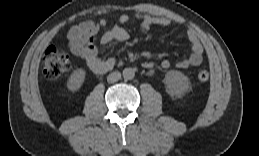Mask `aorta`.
<instances>
[{
    "instance_id": "1",
    "label": "aorta",
    "mask_w": 259,
    "mask_h": 156,
    "mask_svg": "<svg viewBox=\"0 0 259 156\" xmlns=\"http://www.w3.org/2000/svg\"><path fill=\"white\" fill-rule=\"evenodd\" d=\"M122 75L125 80H132L135 76V71L132 68H125Z\"/></svg>"
}]
</instances>
